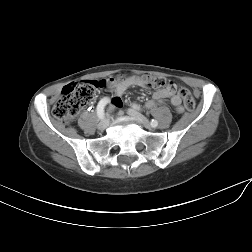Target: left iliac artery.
I'll return each instance as SVG.
<instances>
[{"label":"left iliac artery","mask_w":252,"mask_h":252,"mask_svg":"<svg viewBox=\"0 0 252 252\" xmlns=\"http://www.w3.org/2000/svg\"><path fill=\"white\" fill-rule=\"evenodd\" d=\"M133 107L136 108V109H139V107H138L137 105H133ZM157 125H158L157 120L152 119V120H151V126H152V127H156Z\"/></svg>","instance_id":"left-iliac-artery-1"}]
</instances>
